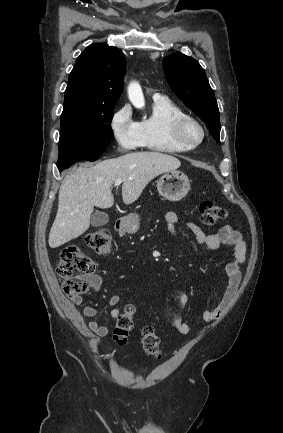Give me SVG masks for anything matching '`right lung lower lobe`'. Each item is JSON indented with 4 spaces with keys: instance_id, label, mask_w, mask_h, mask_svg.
Masks as SVG:
<instances>
[{
    "instance_id": "98d812e1",
    "label": "right lung lower lobe",
    "mask_w": 283,
    "mask_h": 433,
    "mask_svg": "<svg viewBox=\"0 0 283 433\" xmlns=\"http://www.w3.org/2000/svg\"><path fill=\"white\" fill-rule=\"evenodd\" d=\"M104 151L95 152L80 149H65L59 150V159L57 167L59 171L69 168L78 160L95 161Z\"/></svg>"
}]
</instances>
